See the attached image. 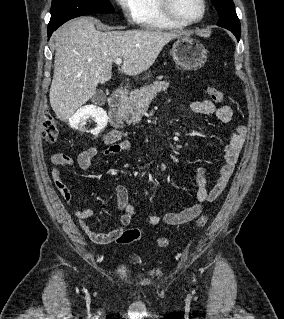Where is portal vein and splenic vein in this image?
Returning a JSON list of instances; mask_svg holds the SVG:
<instances>
[{"label": "portal vein and splenic vein", "mask_w": 284, "mask_h": 319, "mask_svg": "<svg viewBox=\"0 0 284 319\" xmlns=\"http://www.w3.org/2000/svg\"><path fill=\"white\" fill-rule=\"evenodd\" d=\"M115 63H116L117 65H120V64L122 63V59L117 58V59L115 60Z\"/></svg>", "instance_id": "portal-vein-and-splenic-vein-1"}]
</instances>
